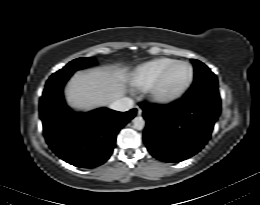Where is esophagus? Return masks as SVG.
Instances as JSON below:
<instances>
[{"mask_svg": "<svg viewBox=\"0 0 260 205\" xmlns=\"http://www.w3.org/2000/svg\"><path fill=\"white\" fill-rule=\"evenodd\" d=\"M137 108V114L142 115V109L139 106H136Z\"/></svg>", "mask_w": 260, "mask_h": 205, "instance_id": "1", "label": "esophagus"}]
</instances>
